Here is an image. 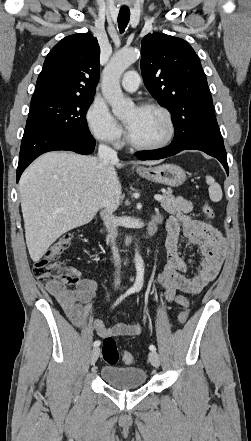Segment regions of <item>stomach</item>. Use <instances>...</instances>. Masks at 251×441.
<instances>
[{"label": "stomach", "mask_w": 251, "mask_h": 441, "mask_svg": "<svg viewBox=\"0 0 251 441\" xmlns=\"http://www.w3.org/2000/svg\"><path fill=\"white\" fill-rule=\"evenodd\" d=\"M137 173L152 182L171 187L181 186L186 180L185 171L175 164H163L156 167L138 168Z\"/></svg>", "instance_id": "obj_1"}]
</instances>
